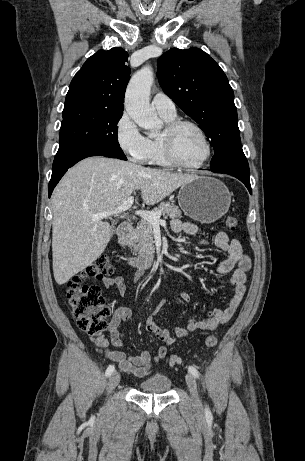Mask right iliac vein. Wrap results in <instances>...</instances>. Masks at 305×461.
<instances>
[{"label": "right iliac vein", "mask_w": 305, "mask_h": 461, "mask_svg": "<svg viewBox=\"0 0 305 461\" xmlns=\"http://www.w3.org/2000/svg\"><path fill=\"white\" fill-rule=\"evenodd\" d=\"M120 382V375L118 372L111 374L108 380V391L111 392Z\"/></svg>", "instance_id": "right-iliac-vein-1"}]
</instances>
